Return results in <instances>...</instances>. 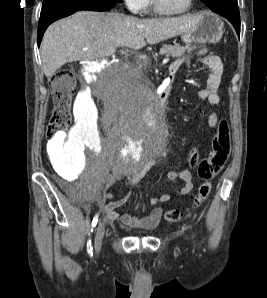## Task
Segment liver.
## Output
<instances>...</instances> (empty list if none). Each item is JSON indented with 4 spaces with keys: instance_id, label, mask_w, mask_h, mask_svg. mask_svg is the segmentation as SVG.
Returning a JSON list of instances; mask_svg holds the SVG:
<instances>
[{
    "instance_id": "liver-1",
    "label": "liver",
    "mask_w": 267,
    "mask_h": 298,
    "mask_svg": "<svg viewBox=\"0 0 267 298\" xmlns=\"http://www.w3.org/2000/svg\"><path fill=\"white\" fill-rule=\"evenodd\" d=\"M199 16L137 19L120 13L79 11L51 24L41 44L45 76L64 64L111 56L118 47L141 49L193 30ZM146 39V41H145Z\"/></svg>"
}]
</instances>
